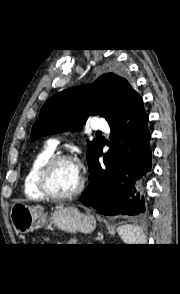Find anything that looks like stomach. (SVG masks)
Returning a JSON list of instances; mask_svg holds the SVG:
<instances>
[{
  "label": "stomach",
  "mask_w": 180,
  "mask_h": 294,
  "mask_svg": "<svg viewBox=\"0 0 180 294\" xmlns=\"http://www.w3.org/2000/svg\"><path fill=\"white\" fill-rule=\"evenodd\" d=\"M10 216L13 227L21 234L37 231L46 223V215L40 207L24 203L13 204ZM51 220L60 230L70 233L77 231L89 233L96 226L92 215L82 213L75 207H59L51 214Z\"/></svg>",
  "instance_id": "stomach-1"
}]
</instances>
